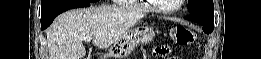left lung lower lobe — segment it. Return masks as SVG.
<instances>
[{"label": "left lung lower lobe", "mask_w": 261, "mask_h": 59, "mask_svg": "<svg viewBox=\"0 0 261 59\" xmlns=\"http://www.w3.org/2000/svg\"><path fill=\"white\" fill-rule=\"evenodd\" d=\"M185 19L197 22L199 24H201L204 28L203 31L206 34H209L213 31V20L212 19H208L205 17H201V16H196V15H190V16H186Z\"/></svg>", "instance_id": "left-lung-lower-lobe-1"}]
</instances>
